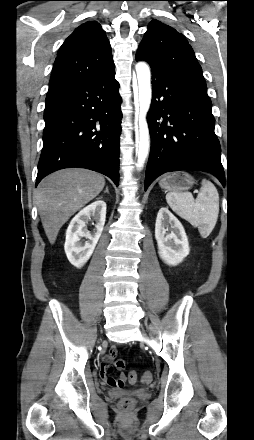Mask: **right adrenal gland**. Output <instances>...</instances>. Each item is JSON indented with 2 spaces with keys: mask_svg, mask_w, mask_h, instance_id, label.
<instances>
[{
  "mask_svg": "<svg viewBox=\"0 0 254 440\" xmlns=\"http://www.w3.org/2000/svg\"><path fill=\"white\" fill-rule=\"evenodd\" d=\"M104 193H109L108 187H106Z\"/></svg>",
  "mask_w": 254,
  "mask_h": 440,
  "instance_id": "2a0ac1e0",
  "label": "right adrenal gland"
}]
</instances>
